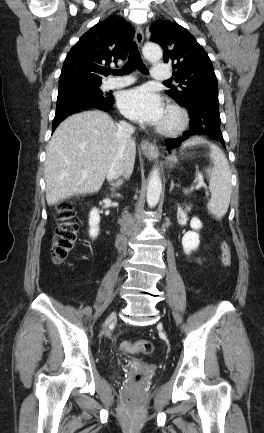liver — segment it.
I'll use <instances>...</instances> for the list:
<instances>
[{"mask_svg": "<svg viewBox=\"0 0 264 433\" xmlns=\"http://www.w3.org/2000/svg\"><path fill=\"white\" fill-rule=\"evenodd\" d=\"M119 147L117 126L102 111H85L64 120L49 142L44 163L48 206L74 195L98 192ZM135 155L131 138L123 157L118 156L127 178L133 171Z\"/></svg>", "mask_w": 264, "mask_h": 433, "instance_id": "obj_1", "label": "liver"}]
</instances>
